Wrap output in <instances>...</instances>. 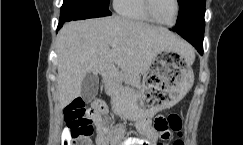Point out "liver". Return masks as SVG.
Returning a JSON list of instances; mask_svg holds the SVG:
<instances>
[{
  "instance_id": "1",
  "label": "liver",
  "mask_w": 243,
  "mask_h": 145,
  "mask_svg": "<svg viewBox=\"0 0 243 145\" xmlns=\"http://www.w3.org/2000/svg\"><path fill=\"white\" fill-rule=\"evenodd\" d=\"M115 41L116 46H110ZM189 45L163 27L119 16L72 21L57 38V91L63 109L81 95L84 77L117 65L126 75L145 73L163 51L183 53Z\"/></svg>"
}]
</instances>
